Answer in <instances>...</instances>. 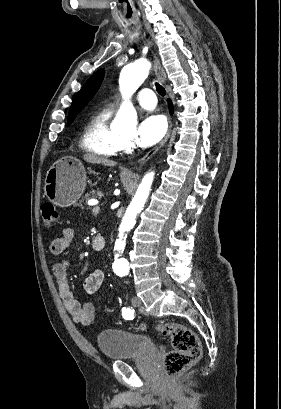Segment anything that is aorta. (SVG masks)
Returning <instances> with one entry per match:
<instances>
[{
	"instance_id": "1",
	"label": "aorta",
	"mask_w": 281,
	"mask_h": 409,
	"mask_svg": "<svg viewBox=\"0 0 281 409\" xmlns=\"http://www.w3.org/2000/svg\"><path fill=\"white\" fill-rule=\"evenodd\" d=\"M150 67L151 65L147 60H138L126 65L122 69L119 85L124 103L121 105L113 122V129L116 131L130 132L136 130L137 113L129 99L147 78ZM153 179L154 172H149L143 177L122 219L120 225L121 232L129 230L134 226L136 216L141 212L148 198Z\"/></svg>"
}]
</instances>
